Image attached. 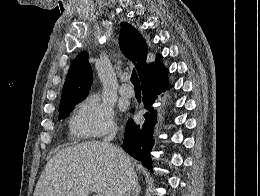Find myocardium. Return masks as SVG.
Returning <instances> with one entry per match:
<instances>
[{
    "label": "myocardium",
    "instance_id": "myocardium-1",
    "mask_svg": "<svg viewBox=\"0 0 260 196\" xmlns=\"http://www.w3.org/2000/svg\"><path fill=\"white\" fill-rule=\"evenodd\" d=\"M50 192H55V190H50Z\"/></svg>",
    "mask_w": 260,
    "mask_h": 196
}]
</instances>
